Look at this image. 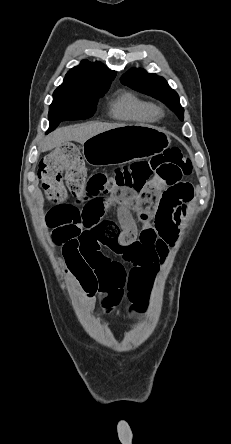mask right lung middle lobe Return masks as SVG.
Wrapping results in <instances>:
<instances>
[{
    "mask_svg": "<svg viewBox=\"0 0 231 444\" xmlns=\"http://www.w3.org/2000/svg\"><path fill=\"white\" fill-rule=\"evenodd\" d=\"M107 90L94 92L55 90L49 109L50 127L48 132L55 129L62 121L91 117L94 114L98 98L102 97Z\"/></svg>",
    "mask_w": 231,
    "mask_h": 444,
    "instance_id": "1",
    "label": "right lung middle lobe"
}]
</instances>
